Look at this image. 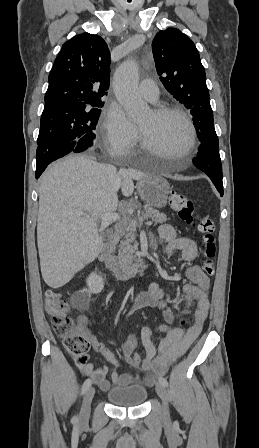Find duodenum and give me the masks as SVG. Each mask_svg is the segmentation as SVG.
Returning <instances> with one entry per match:
<instances>
[{
    "instance_id": "duodenum-1",
    "label": "duodenum",
    "mask_w": 259,
    "mask_h": 448,
    "mask_svg": "<svg viewBox=\"0 0 259 448\" xmlns=\"http://www.w3.org/2000/svg\"><path fill=\"white\" fill-rule=\"evenodd\" d=\"M118 234L113 233L103 245L99 260L111 271L119 280H126L137 275L141 269V263L125 264L113 255L114 248L118 241Z\"/></svg>"
}]
</instances>
